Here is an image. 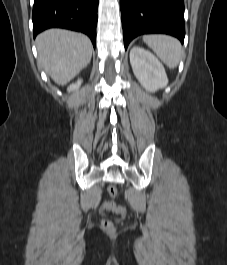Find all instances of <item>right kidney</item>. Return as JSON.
<instances>
[{"label": "right kidney", "mask_w": 227, "mask_h": 265, "mask_svg": "<svg viewBox=\"0 0 227 265\" xmlns=\"http://www.w3.org/2000/svg\"><path fill=\"white\" fill-rule=\"evenodd\" d=\"M81 83H82V80L79 79L75 84H71L68 87V91L70 92V91L77 90L80 87Z\"/></svg>", "instance_id": "1"}]
</instances>
